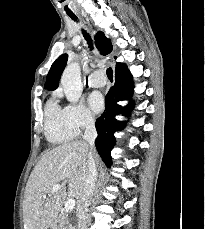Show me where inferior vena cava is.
I'll return each mask as SVG.
<instances>
[{
	"instance_id": "1",
	"label": "inferior vena cava",
	"mask_w": 205,
	"mask_h": 229,
	"mask_svg": "<svg viewBox=\"0 0 205 229\" xmlns=\"http://www.w3.org/2000/svg\"><path fill=\"white\" fill-rule=\"evenodd\" d=\"M85 123H86L85 124L86 128H85L83 139L89 144L90 152L87 161V171H86L84 190L80 198V201L78 203L79 204V210H78L79 229H88L87 223L89 221V217L87 214V210L89 205L91 204V199L97 181V169L93 157L94 143L97 137V132L95 128V119L93 118V116L88 115L86 116Z\"/></svg>"
}]
</instances>
